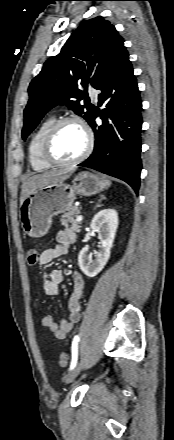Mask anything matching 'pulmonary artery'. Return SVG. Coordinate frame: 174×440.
<instances>
[{
    "mask_svg": "<svg viewBox=\"0 0 174 440\" xmlns=\"http://www.w3.org/2000/svg\"><path fill=\"white\" fill-rule=\"evenodd\" d=\"M89 95L91 96V98H92L93 100L97 101V99H98V92H97L96 89H94V88H90V89H89Z\"/></svg>",
    "mask_w": 174,
    "mask_h": 440,
    "instance_id": "e3ab8cb5",
    "label": "pulmonary artery"
}]
</instances>
